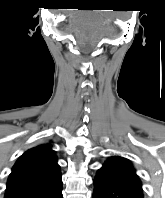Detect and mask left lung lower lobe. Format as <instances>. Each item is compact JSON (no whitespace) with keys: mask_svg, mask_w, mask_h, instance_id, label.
Masks as SVG:
<instances>
[{"mask_svg":"<svg viewBox=\"0 0 165 198\" xmlns=\"http://www.w3.org/2000/svg\"><path fill=\"white\" fill-rule=\"evenodd\" d=\"M94 187L93 198H143L142 192L120 183L100 170L95 177Z\"/></svg>","mask_w":165,"mask_h":198,"instance_id":"0a47b994","label":"left lung lower lobe"}]
</instances>
